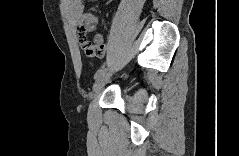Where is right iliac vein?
I'll list each match as a JSON object with an SVG mask.
<instances>
[{"label":"right iliac vein","instance_id":"1","mask_svg":"<svg viewBox=\"0 0 239 156\" xmlns=\"http://www.w3.org/2000/svg\"><path fill=\"white\" fill-rule=\"evenodd\" d=\"M112 76L111 72H105L103 75H101L94 83L92 92L96 93L98 92L110 79Z\"/></svg>","mask_w":239,"mask_h":156}]
</instances>
